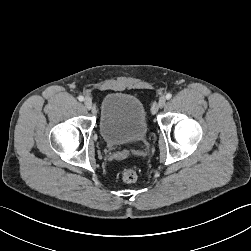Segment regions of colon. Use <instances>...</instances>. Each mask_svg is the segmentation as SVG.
Instances as JSON below:
<instances>
[{
  "mask_svg": "<svg viewBox=\"0 0 251 251\" xmlns=\"http://www.w3.org/2000/svg\"><path fill=\"white\" fill-rule=\"evenodd\" d=\"M122 179L126 183H134L138 179V173L133 168H125L122 172Z\"/></svg>",
  "mask_w": 251,
  "mask_h": 251,
  "instance_id": "5ec220e1",
  "label": "colon"
}]
</instances>
